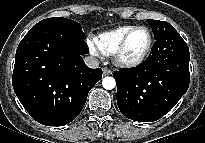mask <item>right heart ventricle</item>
I'll return each instance as SVG.
<instances>
[{"mask_svg": "<svg viewBox=\"0 0 205 143\" xmlns=\"http://www.w3.org/2000/svg\"><path fill=\"white\" fill-rule=\"evenodd\" d=\"M133 25H123L110 31L99 34L94 40L99 51L104 55H112L122 40L123 36L132 28Z\"/></svg>", "mask_w": 205, "mask_h": 143, "instance_id": "e07e8e85", "label": "right heart ventricle"}]
</instances>
